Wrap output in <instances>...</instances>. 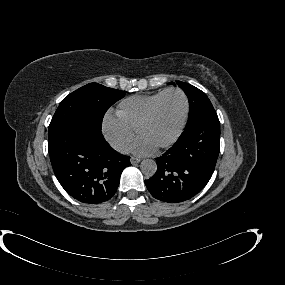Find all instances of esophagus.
<instances>
[{"label": "esophagus", "mask_w": 285, "mask_h": 285, "mask_svg": "<svg viewBox=\"0 0 285 285\" xmlns=\"http://www.w3.org/2000/svg\"><path fill=\"white\" fill-rule=\"evenodd\" d=\"M130 161H131V164H136V163H139L141 159L137 157H131Z\"/></svg>", "instance_id": "obj_1"}]
</instances>
